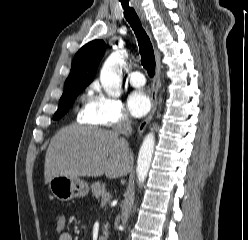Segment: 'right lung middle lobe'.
<instances>
[{
	"mask_svg": "<svg viewBox=\"0 0 248 240\" xmlns=\"http://www.w3.org/2000/svg\"><path fill=\"white\" fill-rule=\"evenodd\" d=\"M85 88L77 82L66 84L64 87V93L59 101L58 110L55 112L53 119H60L68 111L73 104L78 94Z\"/></svg>",
	"mask_w": 248,
	"mask_h": 240,
	"instance_id": "dd1d6c3e",
	"label": "right lung middle lobe"
}]
</instances>
